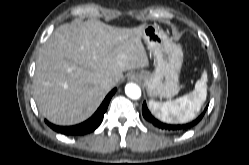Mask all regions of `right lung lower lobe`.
<instances>
[{
  "mask_svg": "<svg viewBox=\"0 0 249 165\" xmlns=\"http://www.w3.org/2000/svg\"><path fill=\"white\" fill-rule=\"evenodd\" d=\"M116 89H113L104 99L100 107L94 113V115L86 120L85 122L75 125V126H56L45 120V122L56 132L65 134V135H84L90 132H93L102 122L104 113L107 110L108 104L111 97L115 93Z\"/></svg>",
  "mask_w": 249,
  "mask_h": 165,
  "instance_id": "right-lung-lower-lobe-1",
  "label": "right lung lower lobe"
}]
</instances>
